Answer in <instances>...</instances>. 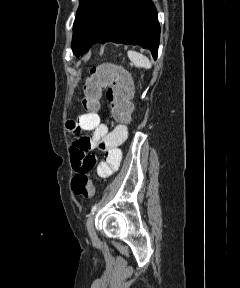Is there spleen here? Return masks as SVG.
<instances>
[{"label":"spleen","mask_w":240,"mask_h":288,"mask_svg":"<svg viewBox=\"0 0 240 288\" xmlns=\"http://www.w3.org/2000/svg\"><path fill=\"white\" fill-rule=\"evenodd\" d=\"M128 57L135 64L136 67L146 69L151 68V63L149 59L141 53H138L136 51H128Z\"/></svg>","instance_id":"obj_1"}]
</instances>
